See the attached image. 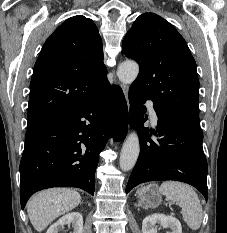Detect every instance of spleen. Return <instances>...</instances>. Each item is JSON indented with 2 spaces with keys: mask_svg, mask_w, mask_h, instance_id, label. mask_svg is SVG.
<instances>
[{
  "mask_svg": "<svg viewBox=\"0 0 227 233\" xmlns=\"http://www.w3.org/2000/svg\"><path fill=\"white\" fill-rule=\"evenodd\" d=\"M158 191L171 202L181 205L184 221L190 229L198 230L202 222V206L195 190L184 183L166 181L161 184Z\"/></svg>",
  "mask_w": 227,
  "mask_h": 233,
  "instance_id": "1",
  "label": "spleen"
}]
</instances>
